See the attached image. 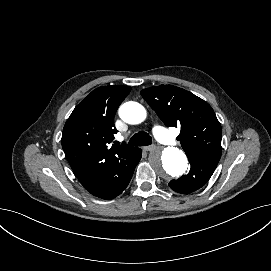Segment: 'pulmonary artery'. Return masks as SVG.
Instances as JSON below:
<instances>
[{
	"instance_id": "e3ab8cb5",
	"label": "pulmonary artery",
	"mask_w": 271,
	"mask_h": 271,
	"mask_svg": "<svg viewBox=\"0 0 271 271\" xmlns=\"http://www.w3.org/2000/svg\"><path fill=\"white\" fill-rule=\"evenodd\" d=\"M154 134L162 143L172 144L174 142V137L172 135H167L164 127H156L154 129Z\"/></svg>"
}]
</instances>
